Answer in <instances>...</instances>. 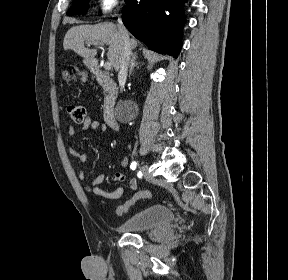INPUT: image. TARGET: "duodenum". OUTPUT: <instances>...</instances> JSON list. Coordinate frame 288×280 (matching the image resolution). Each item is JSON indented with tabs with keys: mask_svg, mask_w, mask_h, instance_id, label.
I'll return each mask as SVG.
<instances>
[{
	"mask_svg": "<svg viewBox=\"0 0 288 280\" xmlns=\"http://www.w3.org/2000/svg\"><path fill=\"white\" fill-rule=\"evenodd\" d=\"M89 68L96 81L104 90L103 116L106 124L114 130H118L119 124L115 115V105L118 97V87L114 80L105 74L96 61H90Z\"/></svg>",
	"mask_w": 288,
	"mask_h": 280,
	"instance_id": "duodenum-1",
	"label": "duodenum"
}]
</instances>
